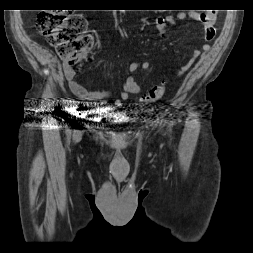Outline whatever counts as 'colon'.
<instances>
[{
    "mask_svg": "<svg viewBox=\"0 0 253 253\" xmlns=\"http://www.w3.org/2000/svg\"><path fill=\"white\" fill-rule=\"evenodd\" d=\"M39 32L56 47L58 55L71 67L85 58L93 45L86 32V21L79 15H67L60 11L43 12L37 19ZM165 92V83L152 87L143 97L146 103L160 99Z\"/></svg>",
    "mask_w": 253,
    "mask_h": 253,
    "instance_id": "colon-1",
    "label": "colon"
}]
</instances>
